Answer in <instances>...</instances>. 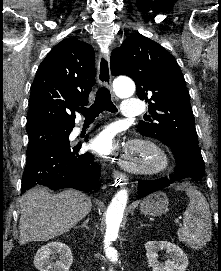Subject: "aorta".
Instances as JSON below:
<instances>
[{
	"mask_svg": "<svg viewBox=\"0 0 221 271\" xmlns=\"http://www.w3.org/2000/svg\"><path fill=\"white\" fill-rule=\"evenodd\" d=\"M113 88L116 95L122 98L130 97L135 92V84L131 79L121 78L113 82ZM128 193L126 189H121L113 197L106 212V233L104 236V251L106 256L112 261L118 260V253L111 246L118 237V231L123 219V213L126 208Z\"/></svg>",
	"mask_w": 221,
	"mask_h": 271,
	"instance_id": "aorta-1",
	"label": "aorta"
}]
</instances>
